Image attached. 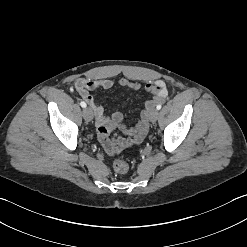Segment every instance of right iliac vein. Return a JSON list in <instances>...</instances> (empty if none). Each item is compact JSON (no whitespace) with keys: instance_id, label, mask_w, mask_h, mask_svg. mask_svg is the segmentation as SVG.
<instances>
[{"instance_id":"obj_1","label":"right iliac vein","mask_w":247,"mask_h":247,"mask_svg":"<svg viewBox=\"0 0 247 247\" xmlns=\"http://www.w3.org/2000/svg\"><path fill=\"white\" fill-rule=\"evenodd\" d=\"M83 117L88 122L93 119V112L89 107H87L83 110Z\"/></svg>"}]
</instances>
